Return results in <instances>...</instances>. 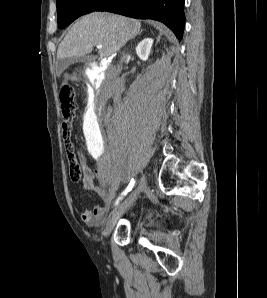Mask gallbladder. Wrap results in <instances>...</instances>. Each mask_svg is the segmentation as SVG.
<instances>
[{
    "instance_id": "obj_1",
    "label": "gallbladder",
    "mask_w": 267,
    "mask_h": 298,
    "mask_svg": "<svg viewBox=\"0 0 267 298\" xmlns=\"http://www.w3.org/2000/svg\"><path fill=\"white\" fill-rule=\"evenodd\" d=\"M88 56H82L79 58H64V59H58L56 64V70L58 72H62L65 69H67L71 64H73L76 61H86L88 60Z\"/></svg>"
}]
</instances>
